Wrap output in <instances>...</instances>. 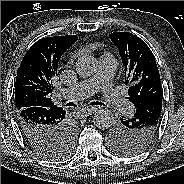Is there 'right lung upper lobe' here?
<instances>
[{
    "instance_id": "obj_1",
    "label": "right lung upper lobe",
    "mask_w": 184,
    "mask_h": 184,
    "mask_svg": "<svg viewBox=\"0 0 184 184\" xmlns=\"http://www.w3.org/2000/svg\"><path fill=\"white\" fill-rule=\"evenodd\" d=\"M77 39L76 35L46 37L31 46L17 71L14 92L17 111L34 106H55L51 92L58 75V62Z\"/></svg>"
}]
</instances>
